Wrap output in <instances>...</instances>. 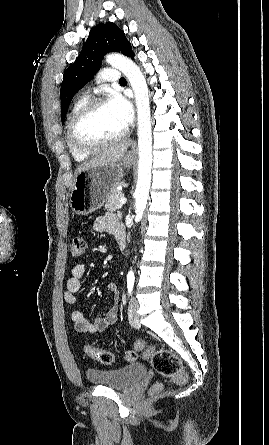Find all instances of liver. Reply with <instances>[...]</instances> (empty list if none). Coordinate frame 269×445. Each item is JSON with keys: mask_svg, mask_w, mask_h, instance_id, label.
<instances>
[{"mask_svg": "<svg viewBox=\"0 0 269 445\" xmlns=\"http://www.w3.org/2000/svg\"><path fill=\"white\" fill-rule=\"evenodd\" d=\"M130 144V141H124L106 148L94 158H92L89 162L80 165L77 169V173L98 165L118 163L124 157L125 152L127 151V148L130 146Z\"/></svg>", "mask_w": 269, "mask_h": 445, "instance_id": "liver-1", "label": "liver"}]
</instances>
